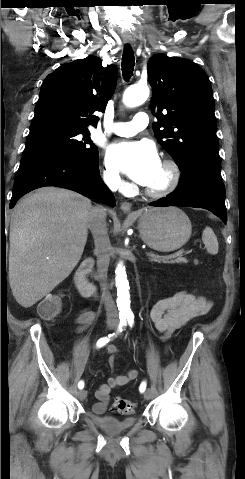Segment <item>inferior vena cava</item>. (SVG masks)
Listing matches in <instances>:
<instances>
[{"label": "inferior vena cava", "mask_w": 245, "mask_h": 479, "mask_svg": "<svg viewBox=\"0 0 245 479\" xmlns=\"http://www.w3.org/2000/svg\"><path fill=\"white\" fill-rule=\"evenodd\" d=\"M109 187L117 185L115 179L107 182ZM106 209L101 206H93L87 217V227L90 229L95 243L94 253L97 257V269L101 280L102 299L104 302L106 316L108 320H117L118 311L111 293L108 290L107 273L110 263L111 244L106 225Z\"/></svg>", "instance_id": "obj_1"}]
</instances>
